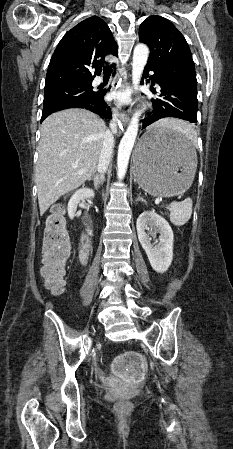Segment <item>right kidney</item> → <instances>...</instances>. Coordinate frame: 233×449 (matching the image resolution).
I'll list each match as a JSON object with an SVG mask.
<instances>
[{
    "label": "right kidney",
    "mask_w": 233,
    "mask_h": 449,
    "mask_svg": "<svg viewBox=\"0 0 233 449\" xmlns=\"http://www.w3.org/2000/svg\"><path fill=\"white\" fill-rule=\"evenodd\" d=\"M95 193L93 192V190L88 189V188H82L77 190L72 197L70 198L69 202H68V216L70 217V219H73L75 217V213L77 211V206L78 203L83 200V199H91L94 198Z\"/></svg>",
    "instance_id": "obj_1"
}]
</instances>
